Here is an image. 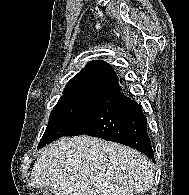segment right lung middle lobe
Segmentation results:
<instances>
[{"label":"right lung middle lobe","instance_id":"1","mask_svg":"<svg viewBox=\"0 0 189 195\" xmlns=\"http://www.w3.org/2000/svg\"><path fill=\"white\" fill-rule=\"evenodd\" d=\"M108 96L89 91L63 92L50 114L38 149L76 130Z\"/></svg>","mask_w":189,"mask_h":195}]
</instances>
